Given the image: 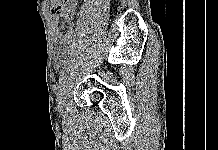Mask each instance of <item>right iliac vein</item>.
<instances>
[{
    "label": "right iliac vein",
    "instance_id": "obj_1",
    "mask_svg": "<svg viewBox=\"0 0 218 150\" xmlns=\"http://www.w3.org/2000/svg\"><path fill=\"white\" fill-rule=\"evenodd\" d=\"M71 78H72V76H67L64 79V82L60 85V87L58 89L57 106H58L59 111L63 110L66 97L69 94Z\"/></svg>",
    "mask_w": 218,
    "mask_h": 150
}]
</instances>
